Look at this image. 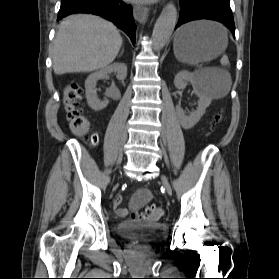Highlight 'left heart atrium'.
<instances>
[{"mask_svg": "<svg viewBox=\"0 0 279 279\" xmlns=\"http://www.w3.org/2000/svg\"><path fill=\"white\" fill-rule=\"evenodd\" d=\"M132 1H150V0H132Z\"/></svg>", "mask_w": 279, "mask_h": 279, "instance_id": "1", "label": "left heart atrium"}]
</instances>
